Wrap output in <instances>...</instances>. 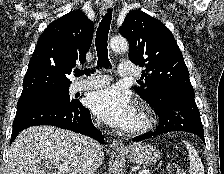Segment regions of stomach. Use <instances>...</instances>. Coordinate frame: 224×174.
<instances>
[{
	"label": "stomach",
	"mask_w": 224,
	"mask_h": 174,
	"mask_svg": "<svg viewBox=\"0 0 224 174\" xmlns=\"http://www.w3.org/2000/svg\"><path fill=\"white\" fill-rule=\"evenodd\" d=\"M120 153L125 154L133 163L144 166L153 165L160 158V151L150 144H137Z\"/></svg>",
	"instance_id": "stomach-1"
}]
</instances>
